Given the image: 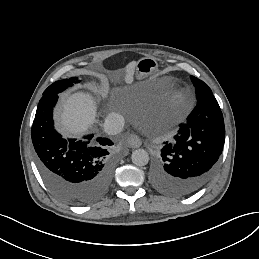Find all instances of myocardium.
I'll use <instances>...</instances> for the list:
<instances>
[{"mask_svg":"<svg viewBox=\"0 0 259 259\" xmlns=\"http://www.w3.org/2000/svg\"><path fill=\"white\" fill-rule=\"evenodd\" d=\"M175 80L174 75L170 76V77H166V78H151V79H145V87L147 86H152L154 84H161V83H166V82H172ZM195 105V99L194 97L192 98L191 104H190V108H193V106ZM188 113V110L183 112L181 115V118L184 117L186 114Z\"/></svg>","mask_w":259,"mask_h":259,"instance_id":"1","label":"myocardium"}]
</instances>
